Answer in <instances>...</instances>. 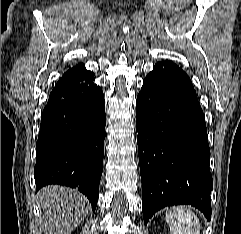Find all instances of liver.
<instances>
[{
	"mask_svg": "<svg viewBox=\"0 0 241 234\" xmlns=\"http://www.w3.org/2000/svg\"><path fill=\"white\" fill-rule=\"evenodd\" d=\"M37 196L40 230L47 234L70 233L89 212L87 198L75 189L48 185Z\"/></svg>",
	"mask_w": 241,
	"mask_h": 234,
	"instance_id": "liver-1",
	"label": "liver"
}]
</instances>
